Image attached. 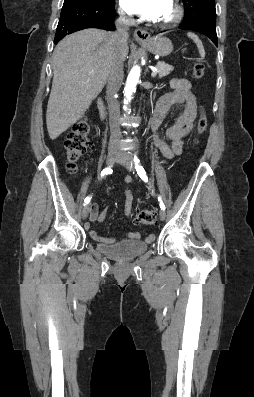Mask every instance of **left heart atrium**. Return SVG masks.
<instances>
[{
    "label": "left heart atrium",
    "instance_id": "obj_1",
    "mask_svg": "<svg viewBox=\"0 0 254 397\" xmlns=\"http://www.w3.org/2000/svg\"><path fill=\"white\" fill-rule=\"evenodd\" d=\"M170 0H121L125 10L149 20H156L166 9Z\"/></svg>",
    "mask_w": 254,
    "mask_h": 397
}]
</instances>
